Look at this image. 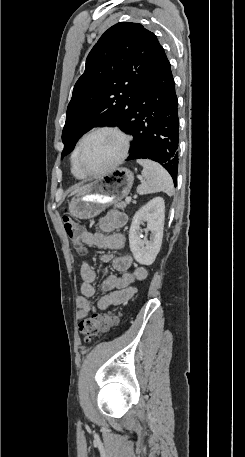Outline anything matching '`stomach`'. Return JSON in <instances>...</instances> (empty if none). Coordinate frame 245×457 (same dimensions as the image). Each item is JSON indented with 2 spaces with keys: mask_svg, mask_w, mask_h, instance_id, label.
Listing matches in <instances>:
<instances>
[{
  "mask_svg": "<svg viewBox=\"0 0 245 457\" xmlns=\"http://www.w3.org/2000/svg\"><path fill=\"white\" fill-rule=\"evenodd\" d=\"M133 180L134 172L129 168H113L73 196L68 206L69 214L76 218H94L106 206L124 198L130 192Z\"/></svg>",
  "mask_w": 245,
  "mask_h": 457,
  "instance_id": "1",
  "label": "stomach"
}]
</instances>
